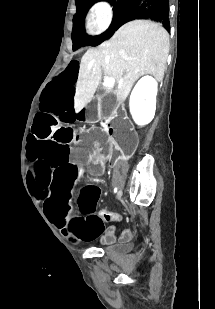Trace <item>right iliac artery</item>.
Here are the masks:
<instances>
[{
    "label": "right iliac artery",
    "mask_w": 215,
    "mask_h": 309,
    "mask_svg": "<svg viewBox=\"0 0 215 309\" xmlns=\"http://www.w3.org/2000/svg\"><path fill=\"white\" fill-rule=\"evenodd\" d=\"M117 192V187H114V193H116Z\"/></svg>",
    "instance_id": "obj_1"
}]
</instances>
